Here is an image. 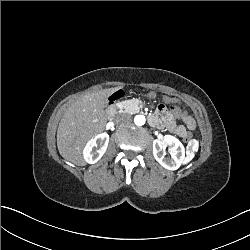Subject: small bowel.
I'll return each mask as SVG.
<instances>
[{
    "label": "small bowel",
    "instance_id": "obj_1",
    "mask_svg": "<svg viewBox=\"0 0 250 250\" xmlns=\"http://www.w3.org/2000/svg\"><path fill=\"white\" fill-rule=\"evenodd\" d=\"M176 117L179 118V119H181V120H184L185 118L191 119V117H189V116L187 115V113L184 112V111H178V112L176 113Z\"/></svg>",
    "mask_w": 250,
    "mask_h": 250
}]
</instances>
